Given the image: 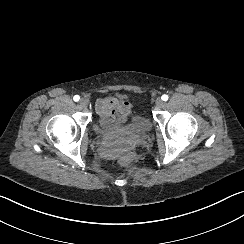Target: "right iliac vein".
Here are the masks:
<instances>
[{"label": "right iliac vein", "instance_id": "right-iliac-vein-1", "mask_svg": "<svg viewBox=\"0 0 244 244\" xmlns=\"http://www.w3.org/2000/svg\"><path fill=\"white\" fill-rule=\"evenodd\" d=\"M79 104L82 108L87 107L88 101L85 98L80 99Z\"/></svg>", "mask_w": 244, "mask_h": 244}]
</instances>
